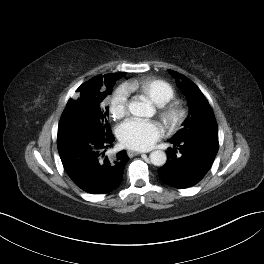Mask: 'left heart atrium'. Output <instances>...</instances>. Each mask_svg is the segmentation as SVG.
Here are the masks:
<instances>
[{
  "instance_id": "39dd6f15",
  "label": "left heart atrium",
  "mask_w": 264,
  "mask_h": 264,
  "mask_svg": "<svg viewBox=\"0 0 264 264\" xmlns=\"http://www.w3.org/2000/svg\"><path fill=\"white\" fill-rule=\"evenodd\" d=\"M163 132L156 121L131 118L118 128V137L129 148L147 150L161 138Z\"/></svg>"
}]
</instances>
